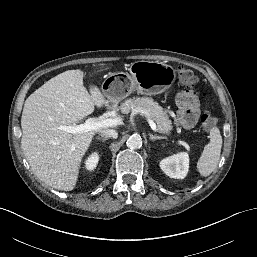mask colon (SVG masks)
Listing matches in <instances>:
<instances>
[{
    "mask_svg": "<svg viewBox=\"0 0 257 257\" xmlns=\"http://www.w3.org/2000/svg\"><path fill=\"white\" fill-rule=\"evenodd\" d=\"M176 75L178 81L188 87V88H196L198 85V78L197 76L189 69H186L184 67H178L176 69ZM202 95L205 97L206 94L202 93ZM218 118L216 114L209 108L204 109L201 117H200V123L202 128L205 131H211L215 128L217 125Z\"/></svg>",
    "mask_w": 257,
    "mask_h": 257,
    "instance_id": "5ec220e1",
    "label": "colon"
}]
</instances>
